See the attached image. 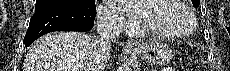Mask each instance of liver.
Listing matches in <instances>:
<instances>
[{"label":"liver","instance_id":"obj_1","mask_svg":"<svg viewBox=\"0 0 230 71\" xmlns=\"http://www.w3.org/2000/svg\"><path fill=\"white\" fill-rule=\"evenodd\" d=\"M91 42L89 35L77 32L46 34L27 53L24 71H86L91 59Z\"/></svg>","mask_w":230,"mask_h":71}]
</instances>
